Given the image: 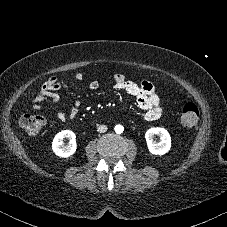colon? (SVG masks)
Listing matches in <instances>:
<instances>
[{
	"label": "colon",
	"instance_id": "colon-1",
	"mask_svg": "<svg viewBox=\"0 0 227 227\" xmlns=\"http://www.w3.org/2000/svg\"><path fill=\"white\" fill-rule=\"evenodd\" d=\"M199 120V110L194 103H186L180 114V124L183 128L194 127ZM46 118L40 115H23L20 126L28 135H37L46 125Z\"/></svg>",
	"mask_w": 227,
	"mask_h": 227
}]
</instances>
